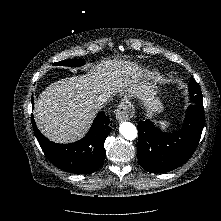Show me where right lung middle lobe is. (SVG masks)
<instances>
[{"instance_id":"right-lung-middle-lobe-1","label":"right lung middle lobe","mask_w":221,"mask_h":221,"mask_svg":"<svg viewBox=\"0 0 221 221\" xmlns=\"http://www.w3.org/2000/svg\"><path fill=\"white\" fill-rule=\"evenodd\" d=\"M54 65L79 67V66L84 65V61L80 59H69V60H64L61 62H56Z\"/></svg>"}]
</instances>
